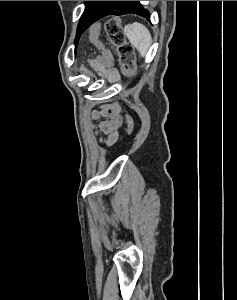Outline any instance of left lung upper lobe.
Segmentation results:
<instances>
[{
	"instance_id": "left-lung-upper-lobe-1",
	"label": "left lung upper lobe",
	"mask_w": 237,
	"mask_h": 300,
	"mask_svg": "<svg viewBox=\"0 0 237 300\" xmlns=\"http://www.w3.org/2000/svg\"><path fill=\"white\" fill-rule=\"evenodd\" d=\"M85 2V10L81 16L77 27V34L75 38V51L77 49V45L79 39L83 32L92 25L91 23L98 17L104 7L109 3V1H84ZM126 8L130 10L132 13L138 14L142 17H145L147 20H150L149 12L145 10L140 4V1H125Z\"/></svg>"
}]
</instances>
